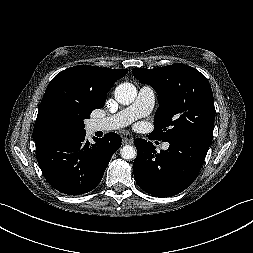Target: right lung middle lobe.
I'll return each mask as SVG.
<instances>
[{"instance_id": "right-lung-middle-lobe-1", "label": "right lung middle lobe", "mask_w": 253, "mask_h": 253, "mask_svg": "<svg viewBox=\"0 0 253 253\" xmlns=\"http://www.w3.org/2000/svg\"><path fill=\"white\" fill-rule=\"evenodd\" d=\"M89 97H68L61 94L49 96L41 109L40 132L50 134H80L85 132L84 119L90 117L94 109L102 108Z\"/></svg>"}]
</instances>
